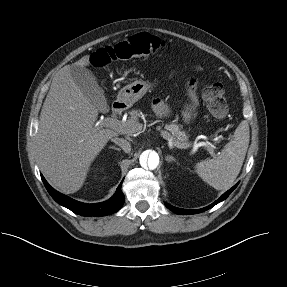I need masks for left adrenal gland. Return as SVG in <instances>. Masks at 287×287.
Returning a JSON list of instances; mask_svg holds the SVG:
<instances>
[{
	"label": "left adrenal gland",
	"mask_w": 287,
	"mask_h": 287,
	"mask_svg": "<svg viewBox=\"0 0 287 287\" xmlns=\"http://www.w3.org/2000/svg\"><path fill=\"white\" fill-rule=\"evenodd\" d=\"M165 160L167 161V162H176V159L173 157V156H171V155H167L166 157H165Z\"/></svg>",
	"instance_id": "left-adrenal-gland-1"
}]
</instances>
